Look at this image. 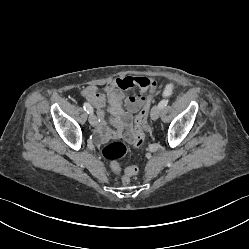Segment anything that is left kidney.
<instances>
[{"mask_svg": "<svg viewBox=\"0 0 249 249\" xmlns=\"http://www.w3.org/2000/svg\"><path fill=\"white\" fill-rule=\"evenodd\" d=\"M162 90L165 94L167 95H172L176 92L177 90V85L174 81L172 80H167L163 83L162 85Z\"/></svg>", "mask_w": 249, "mask_h": 249, "instance_id": "1", "label": "left kidney"}]
</instances>
